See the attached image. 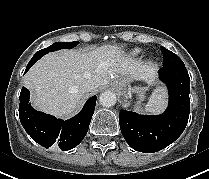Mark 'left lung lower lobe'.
Returning a JSON list of instances; mask_svg holds the SVG:
<instances>
[{
	"label": "left lung lower lobe",
	"instance_id": "left-lung-lower-lobe-1",
	"mask_svg": "<svg viewBox=\"0 0 209 179\" xmlns=\"http://www.w3.org/2000/svg\"><path fill=\"white\" fill-rule=\"evenodd\" d=\"M159 79L169 92V105L161 115H139L121 110L120 129L127 143L136 151L153 153L173 143L184 131L190 112V78L185 65L162 67Z\"/></svg>",
	"mask_w": 209,
	"mask_h": 179
}]
</instances>
